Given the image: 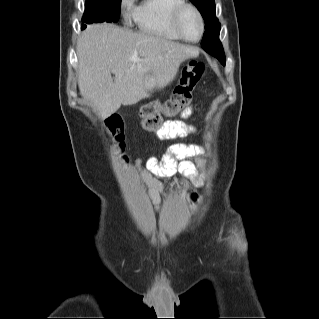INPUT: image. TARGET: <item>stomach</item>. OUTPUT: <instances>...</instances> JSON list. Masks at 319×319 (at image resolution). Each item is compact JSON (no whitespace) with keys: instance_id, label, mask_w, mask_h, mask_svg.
<instances>
[{"instance_id":"obj_1","label":"stomach","mask_w":319,"mask_h":319,"mask_svg":"<svg viewBox=\"0 0 319 319\" xmlns=\"http://www.w3.org/2000/svg\"><path fill=\"white\" fill-rule=\"evenodd\" d=\"M147 83L149 85V90L150 91H153L154 89H156L155 86H154V81H152L150 79H147Z\"/></svg>"}]
</instances>
